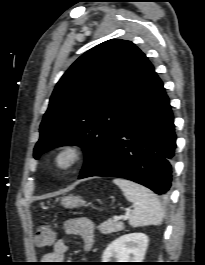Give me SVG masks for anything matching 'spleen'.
Segmentation results:
<instances>
[{
    "label": "spleen",
    "mask_w": 205,
    "mask_h": 265,
    "mask_svg": "<svg viewBox=\"0 0 205 265\" xmlns=\"http://www.w3.org/2000/svg\"><path fill=\"white\" fill-rule=\"evenodd\" d=\"M113 182L121 188L127 200L134 204V210L129 216L130 226L162 224L164 211L157 196L151 190L125 179L116 178Z\"/></svg>",
    "instance_id": "obj_1"
}]
</instances>
